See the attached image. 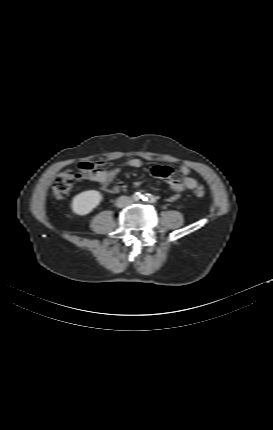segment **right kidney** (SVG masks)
Returning a JSON list of instances; mask_svg holds the SVG:
<instances>
[{
  "label": "right kidney",
  "instance_id": "ca27d5eb",
  "mask_svg": "<svg viewBox=\"0 0 273 430\" xmlns=\"http://www.w3.org/2000/svg\"><path fill=\"white\" fill-rule=\"evenodd\" d=\"M102 195L96 190H87L75 195L71 202V209L77 215H87L101 202Z\"/></svg>",
  "mask_w": 273,
  "mask_h": 430
}]
</instances>
